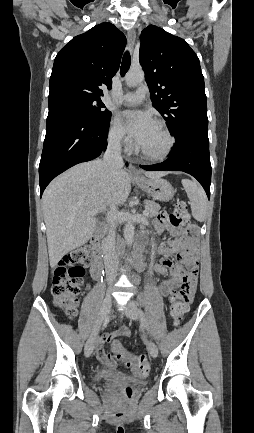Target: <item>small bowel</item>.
Listing matches in <instances>:
<instances>
[{"label":"small bowel","mask_w":254,"mask_h":433,"mask_svg":"<svg viewBox=\"0 0 254 433\" xmlns=\"http://www.w3.org/2000/svg\"><path fill=\"white\" fill-rule=\"evenodd\" d=\"M155 227L158 232L170 230L178 237L175 240L162 242L158 248L162 261L153 266V271L159 275H165L168 271L171 273V278L162 282L159 290L164 297L176 298L183 302L188 301L192 299L197 284L198 260L196 255V237L184 233L182 229L171 228L160 219L155 222ZM173 253H177L176 262L168 259V256ZM176 288L179 290L175 292ZM126 329V336H130L131 331L128 328ZM119 330L103 334L99 338L96 347L98 359L110 370L117 367V361L105 350L104 345L121 336Z\"/></svg>","instance_id":"obj_1"}]
</instances>
